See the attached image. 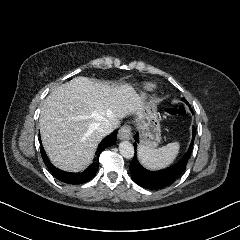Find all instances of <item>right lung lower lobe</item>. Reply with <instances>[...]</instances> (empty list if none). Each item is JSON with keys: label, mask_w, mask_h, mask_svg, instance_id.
<instances>
[{"label": "right lung lower lobe", "mask_w": 240, "mask_h": 240, "mask_svg": "<svg viewBox=\"0 0 240 240\" xmlns=\"http://www.w3.org/2000/svg\"><path fill=\"white\" fill-rule=\"evenodd\" d=\"M116 137H117V131H114L112 134L108 135L106 138H104L101 143L99 144L97 151H96V157L93 161V163L83 172L78 173H71L62 171L55 166L51 164L49 161L44 148L42 146L41 140L39 138L40 144H41V155L42 159L45 163V165L48 167L49 171L52 173V175L58 179L59 181L67 184H83L88 181H90L97 173L98 171V165H99V155L100 153L107 147L112 146L116 143Z\"/></svg>", "instance_id": "1"}]
</instances>
